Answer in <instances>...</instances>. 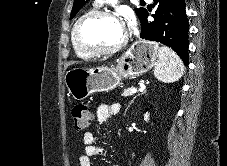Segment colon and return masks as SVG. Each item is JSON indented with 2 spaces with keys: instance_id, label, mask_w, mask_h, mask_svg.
Instances as JSON below:
<instances>
[{
  "instance_id": "obj_1",
  "label": "colon",
  "mask_w": 227,
  "mask_h": 166,
  "mask_svg": "<svg viewBox=\"0 0 227 166\" xmlns=\"http://www.w3.org/2000/svg\"><path fill=\"white\" fill-rule=\"evenodd\" d=\"M71 119L73 129L75 131H83L89 125L92 115L86 104L78 103L72 108Z\"/></svg>"
}]
</instances>
